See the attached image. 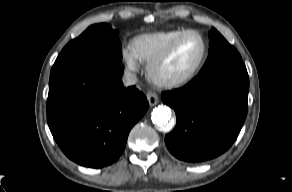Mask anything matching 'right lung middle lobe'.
I'll list each match as a JSON object with an SVG mask.
<instances>
[{"label": "right lung middle lobe", "mask_w": 292, "mask_h": 192, "mask_svg": "<svg viewBox=\"0 0 292 192\" xmlns=\"http://www.w3.org/2000/svg\"><path fill=\"white\" fill-rule=\"evenodd\" d=\"M104 53L122 60L118 31L106 23L90 26L78 38L70 41L61 51L64 54Z\"/></svg>", "instance_id": "1"}]
</instances>
